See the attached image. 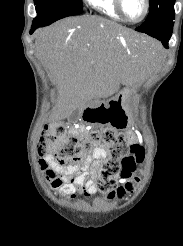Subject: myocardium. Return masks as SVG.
<instances>
[{
	"mask_svg": "<svg viewBox=\"0 0 183 246\" xmlns=\"http://www.w3.org/2000/svg\"><path fill=\"white\" fill-rule=\"evenodd\" d=\"M143 2H144V12L142 16L137 20H132L127 16L125 9H124V0H115V5H116L117 11L123 17L124 20H126L129 23L136 24V23H140L141 21H143L147 17L149 10H150V1L143 0Z\"/></svg>",
	"mask_w": 183,
	"mask_h": 246,
	"instance_id": "myocardium-1",
	"label": "myocardium"
}]
</instances>
